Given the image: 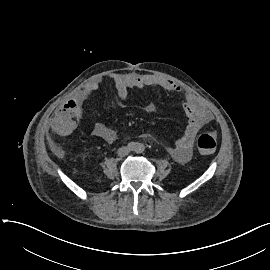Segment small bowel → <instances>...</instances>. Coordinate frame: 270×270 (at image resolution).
Masks as SVG:
<instances>
[{"label": "small bowel", "instance_id": "c3829d8e", "mask_svg": "<svg viewBox=\"0 0 270 270\" xmlns=\"http://www.w3.org/2000/svg\"><path fill=\"white\" fill-rule=\"evenodd\" d=\"M110 78L114 83L120 104L127 102L130 90L135 88L162 89L183 96V110L188 120L187 125L183 135L173 146L168 148V151L177 162L183 163L188 161L192 155L197 133L213 120L212 114L205 108L200 99L193 94L185 92L175 82L154 74L124 73L114 74ZM98 87L99 82L92 81L75 99L65 103L64 111H67L70 117L64 128L60 130V134L67 135L76 128V122L83 113L84 103L96 92ZM145 111L152 114L157 112V107L154 104H147ZM92 134L108 143H113L118 139V132L114 128L101 123L94 125Z\"/></svg>", "mask_w": 270, "mask_h": 270}]
</instances>
